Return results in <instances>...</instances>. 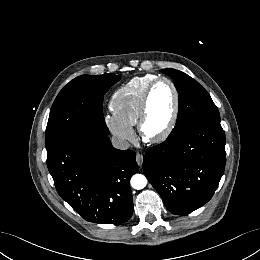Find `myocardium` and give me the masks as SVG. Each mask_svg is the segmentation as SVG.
<instances>
[{"label":"myocardium","mask_w":260,"mask_h":260,"mask_svg":"<svg viewBox=\"0 0 260 260\" xmlns=\"http://www.w3.org/2000/svg\"><path fill=\"white\" fill-rule=\"evenodd\" d=\"M160 82H166L171 86L173 93H174V109H173L171 119H170L167 127L165 128V130L158 135L149 136L145 133L144 124H145V121H146V118L148 115L149 102H150L151 95H152L155 87L157 86V84H159ZM180 105H181V102H180L179 90H178L176 84L171 79H169L167 77H157L155 80H153V82L149 85L146 92L144 93V96H143L142 102H141V106H140V110H139V116H138V120H137V129H138V133H139L141 139L146 143H155V144L161 143V142L167 140L170 137V135L172 134V132L174 131L175 126L177 124L179 114H180Z\"/></svg>","instance_id":"myocardium-1"}]
</instances>
